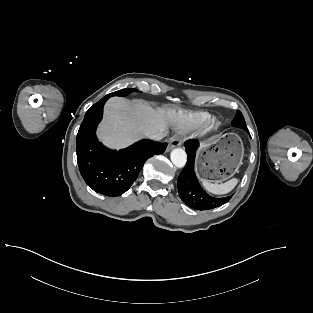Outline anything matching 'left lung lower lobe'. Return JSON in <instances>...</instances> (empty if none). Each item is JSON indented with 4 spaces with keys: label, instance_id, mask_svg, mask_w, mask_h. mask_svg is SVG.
Wrapping results in <instances>:
<instances>
[{
    "label": "left lung lower lobe",
    "instance_id": "0a47b994",
    "mask_svg": "<svg viewBox=\"0 0 313 313\" xmlns=\"http://www.w3.org/2000/svg\"><path fill=\"white\" fill-rule=\"evenodd\" d=\"M249 133V131H247ZM188 161L180 173L177 181L178 192L181 200L188 206L198 210H208L227 203L232 196L214 198L209 196L200 186L194 172V160L196 149L199 146L197 140H189L184 143Z\"/></svg>",
    "mask_w": 313,
    "mask_h": 313
}]
</instances>
